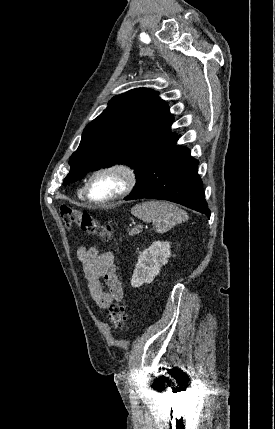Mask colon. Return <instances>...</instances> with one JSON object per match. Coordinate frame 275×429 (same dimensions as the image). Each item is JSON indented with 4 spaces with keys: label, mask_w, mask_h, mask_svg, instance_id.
<instances>
[{
    "label": "colon",
    "mask_w": 275,
    "mask_h": 429,
    "mask_svg": "<svg viewBox=\"0 0 275 429\" xmlns=\"http://www.w3.org/2000/svg\"><path fill=\"white\" fill-rule=\"evenodd\" d=\"M60 215L67 228H78L105 242H110L112 239V227L98 222L85 210L63 204L60 207ZM108 318L116 331H123L127 319L125 306L120 303L111 304L108 308Z\"/></svg>",
    "instance_id": "obj_1"
}]
</instances>
